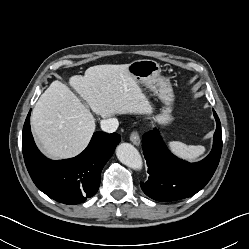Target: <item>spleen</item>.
I'll list each match as a JSON object with an SVG mask.
<instances>
[{
	"instance_id": "obj_1",
	"label": "spleen",
	"mask_w": 249,
	"mask_h": 249,
	"mask_svg": "<svg viewBox=\"0 0 249 249\" xmlns=\"http://www.w3.org/2000/svg\"><path fill=\"white\" fill-rule=\"evenodd\" d=\"M168 147L173 154H175L179 158L188 161L196 160L200 155H202L205 152V147L201 145L187 146L186 144L179 141L168 142Z\"/></svg>"
}]
</instances>
